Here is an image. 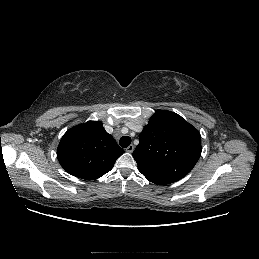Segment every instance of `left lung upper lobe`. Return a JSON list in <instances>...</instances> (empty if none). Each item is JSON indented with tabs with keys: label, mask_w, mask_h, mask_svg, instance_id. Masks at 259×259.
<instances>
[{
	"label": "left lung upper lobe",
	"mask_w": 259,
	"mask_h": 259,
	"mask_svg": "<svg viewBox=\"0 0 259 259\" xmlns=\"http://www.w3.org/2000/svg\"><path fill=\"white\" fill-rule=\"evenodd\" d=\"M201 155L200 133L181 116L157 110L133 152L143 175L167 184L186 176Z\"/></svg>",
	"instance_id": "1"
}]
</instances>
